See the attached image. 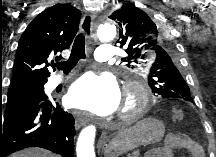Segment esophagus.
Wrapping results in <instances>:
<instances>
[{
	"label": "esophagus",
	"mask_w": 216,
	"mask_h": 157,
	"mask_svg": "<svg viewBox=\"0 0 216 157\" xmlns=\"http://www.w3.org/2000/svg\"><path fill=\"white\" fill-rule=\"evenodd\" d=\"M96 15L94 13H87L84 15L81 22V31L86 35H91L94 30V20ZM87 120L83 117L77 116L75 119V128L80 129L86 124Z\"/></svg>",
	"instance_id": "1"
}]
</instances>
